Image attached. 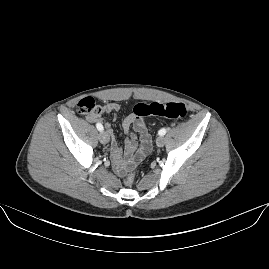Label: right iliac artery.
I'll list each match as a JSON object with an SVG mask.
<instances>
[{
    "mask_svg": "<svg viewBox=\"0 0 269 269\" xmlns=\"http://www.w3.org/2000/svg\"><path fill=\"white\" fill-rule=\"evenodd\" d=\"M96 127H97V129H98L99 131H103V126H102V124L97 123V124H96Z\"/></svg>",
    "mask_w": 269,
    "mask_h": 269,
    "instance_id": "1",
    "label": "right iliac artery"
}]
</instances>
